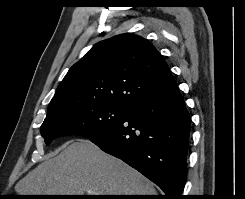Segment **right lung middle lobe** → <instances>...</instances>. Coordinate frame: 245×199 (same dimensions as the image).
I'll use <instances>...</instances> for the list:
<instances>
[{
  "label": "right lung middle lobe",
  "mask_w": 245,
  "mask_h": 199,
  "mask_svg": "<svg viewBox=\"0 0 245 199\" xmlns=\"http://www.w3.org/2000/svg\"><path fill=\"white\" fill-rule=\"evenodd\" d=\"M128 108L111 104L86 103L62 108L47 115L41 135L46 144L67 135L93 136L120 121Z\"/></svg>",
  "instance_id": "right-lung-middle-lobe-1"
}]
</instances>
